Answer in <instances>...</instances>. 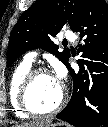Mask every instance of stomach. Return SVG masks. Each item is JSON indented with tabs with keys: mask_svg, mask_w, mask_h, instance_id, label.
I'll use <instances>...</instances> for the list:
<instances>
[{
	"mask_svg": "<svg viewBox=\"0 0 108 127\" xmlns=\"http://www.w3.org/2000/svg\"><path fill=\"white\" fill-rule=\"evenodd\" d=\"M45 127H72V126L66 122H56V123L50 122Z\"/></svg>",
	"mask_w": 108,
	"mask_h": 127,
	"instance_id": "obj_1",
	"label": "stomach"
}]
</instances>
